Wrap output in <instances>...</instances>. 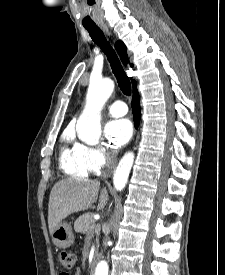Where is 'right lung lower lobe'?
Returning a JSON list of instances; mask_svg holds the SVG:
<instances>
[{
	"instance_id": "98d812e1",
	"label": "right lung lower lobe",
	"mask_w": 225,
	"mask_h": 275,
	"mask_svg": "<svg viewBox=\"0 0 225 275\" xmlns=\"http://www.w3.org/2000/svg\"><path fill=\"white\" fill-rule=\"evenodd\" d=\"M132 112L134 115L135 127L137 128L140 122V104L139 93L136 87H133Z\"/></svg>"
}]
</instances>
